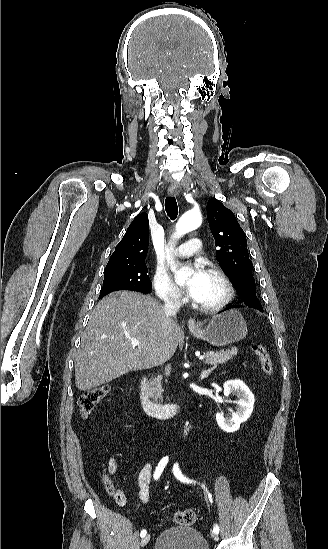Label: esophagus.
<instances>
[{"mask_svg": "<svg viewBox=\"0 0 328 549\" xmlns=\"http://www.w3.org/2000/svg\"><path fill=\"white\" fill-rule=\"evenodd\" d=\"M178 193V189L176 185H170L168 188V194L172 197L176 196ZM188 327L189 329H195L197 327L195 319H189L188 320Z\"/></svg>", "mask_w": 328, "mask_h": 549, "instance_id": "1", "label": "esophagus"}]
</instances>
